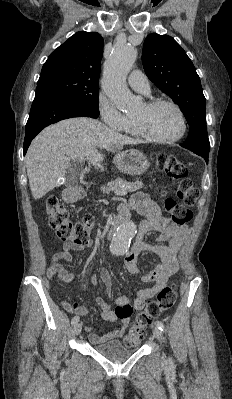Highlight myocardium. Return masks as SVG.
<instances>
[{"label": "myocardium", "instance_id": "obj_1", "mask_svg": "<svg viewBox=\"0 0 232 399\" xmlns=\"http://www.w3.org/2000/svg\"><path fill=\"white\" fill-rule=\"evenodd\" d=\"M160 105H170L176 109V111L178 112V114L180 116L181 124H182L180 133L177 136L172 137V138H157L146 131V129L144 128V126L140 120L133 118L132 121H133V124H134L139 136L146 141L153 142V143H160V144H169V143H174V142L181 140L187 131V120H186V117H185V114H184L182 108L175 102L170 101V100H165V99H155V100H150V101H147L144 103V106L147 109H153Z\"/></svg>", "mask_w": 232, "mask_h": 399}]
</instances>
